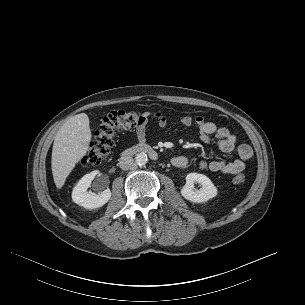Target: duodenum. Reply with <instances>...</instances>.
I'll return each mask as SVG.
<instances>
[{"label": "duodenum", "instance_id": "410a0bca", "mask_svg": "<svg viewBox=\"0 0 305 305\" xmlns=\"http://www.w3.org/2000/svg\"><path fill=\"white\" fill-rule=\"evenodd\" d=\"M138 153H145L151 158H157L156 150L147 144L134 145L122 151V155H132Z\"/></svg>", "mask_w": 305, "mask_h": 305}]
</instances>
